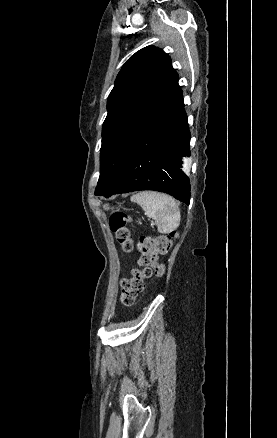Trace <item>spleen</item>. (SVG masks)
<instances>
[{
  "mask_svg": "<svg viewBox=\"0 0 277 438\" xmlns=\"http://www.w3.org/2000/svg\"><path fill=\"white\" fill-rule=\"evenodd\" d=\"M131 202L139 204L148 218L155 220L160 234H169L178 228L181 216L176 202L170 196L159 192H139L132 196Z\"/></svg>",
  "mask_w": 277,
  "mask_h": 438,
  "instance_id": "3e777b00",
  "label": "spleen"
}]
</instances>
